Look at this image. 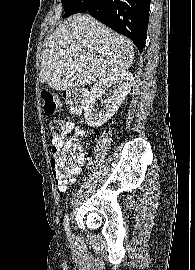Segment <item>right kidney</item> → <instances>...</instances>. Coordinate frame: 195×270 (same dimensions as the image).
<instances>
[{"label": "right kidney", "instance_id": "1", "mask_svg": "<svg viewBox=\"0 0 195 270\" xmlns=\"http://www.w3.org/2000/svg\"><path fill=\"white\" fill-rule=\"evenodd\" d=\"M132 82L133 75L128 71L98 81L92 87L91 95L84 108L86 123L91 127H99L111 119L126 96L130 93ZM112 85L116 87L113 91V95L105 101L104 109L97 111L95 109L97 100L105 94L106 90Z\"/></svg>", "mask_w": 195, "mask_h": 270}]
</instances>
